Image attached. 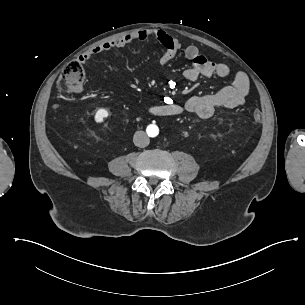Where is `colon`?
I'll return each instance as SVG.
<instances>
[{
    "mask_svg": "<svg viewBox=\"0 0 305 305\" xmlns=\"http://www.w3.org/2000/svg\"><path fill=\"white\" fill-rule=\"evenodd\" d=\"M85 80V67L82 62L78 60H70L65 63L63 73L57 81L58 89H65L68 93H77L80 91ZM253 119L256 122L262 120L259 110L253 111Z\"/></svg>",
    "mask_w": 305,
    "mask_h": 305,
    "instance_id": "colon-1",
    "label": "colon"
}]
</instances>
